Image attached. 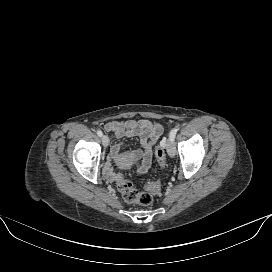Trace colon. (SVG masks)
Instances as JSON below:
<instances>
[{
  "label": "colon",
  "mask_w": 272,
  "mask_h": 272,
  "mask_svg": "<svg viewBox=\"0 0 272 272\" xmlns=\"http://www.w3.org/2000/svg\"><path fill=\"white\" fill-rule=\"evenodd\" d=\"M155 156L158 165L161 168H165L167 165L166 154L163 146H158L155 151ZM119 192L121 193L123 199L128 203H136L140 205H150L153 201V195L159 192L161 188L160 181L151 182L146 185V191L139 192L133 184L125 179H121L117 183Z\"/></svg>",
  "instance_id": "obj_1"
}]
</instances>
